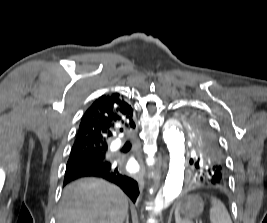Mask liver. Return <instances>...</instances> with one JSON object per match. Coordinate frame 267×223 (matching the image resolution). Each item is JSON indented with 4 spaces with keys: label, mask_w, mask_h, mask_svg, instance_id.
Wrapping results in <instances>:
<instances>
[{
    "label": "liver",
    "mask_w": 267,
    "mask_h": 223,
    "mask_svg": "<svg viewBox=\"0 0 267 223\" xmlns=\"http://www.w3.org/2000/svg\"><path fill=\"white\" fill-rule=\"evenodd\" d=\"M127 215L128 198L120 188L86 178L64 188L57 223H123Z\"/></svg>",
    "instance_id": "liver-1"
}]
</instances>
